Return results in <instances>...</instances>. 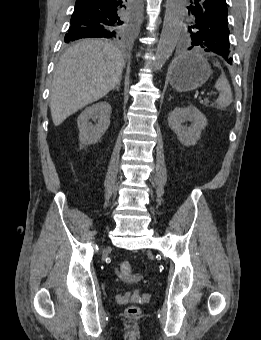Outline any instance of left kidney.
Wrapping results in <instances>:
<instances>
[{"mask_svg":"<svg viewBox=\"0 0 261 340\" xmlns=\"http://www.w3.org/2000/svg\"><path fill=\"white\" fill-rule=\"evenodd\" d=\"M187 120L193 121L189 127L183 125ZM168 125L183 145L191 146L200 139L207 119L194 105H189L186 108L176 107L171 111L168 115Z\"/></svg>","mask_w":261,"mask_h":340,"instance_id":"5707ae66","label":"left kidney"}]
</instances>
